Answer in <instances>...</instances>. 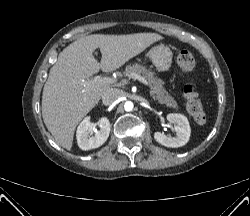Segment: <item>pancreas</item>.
<instances>
[{
  "mask_svg": "<svg viewBox=\"0 0 250 216\" xmlns=\"http://www.w3.org/2000/svg\"><path fill=\"white\" fill-rule=\"evenodd\" d=\"M132 73L142 75L148 82L150 94L155 100L160 104L178 110L177 101L167 92L164 88V82L158 78L153 71L147 69L144 65L135 63L127 65L124 71V75L129 78Z\"/></svg>",
  "mask_w": 250,
  "mask_h": 216,
  "instance_id": "cf45deb5",
  "label": "pancreas"
}]
</instances>
